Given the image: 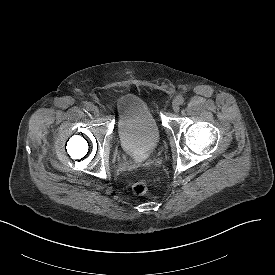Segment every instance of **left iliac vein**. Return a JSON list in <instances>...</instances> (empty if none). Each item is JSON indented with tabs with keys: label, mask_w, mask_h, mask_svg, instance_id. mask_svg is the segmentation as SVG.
<instances>
[{
	"label": "left iliac vein",
	"mask_w": 275,
	"mask_h": 275,
	"mask_svg": "<svg viewBox=\"0 0 275 275\" xmlns=\"http://www.w3.org/2000/svg\"><path fill=\"white\" fill-rule=\"evenodd\" d=\"M172 107H173L174 112L179 111L180 107H179V103L177 102L176 99L173 101Z\"/></svg>",
	"instance_id": "left-iliac-vein-1"
}]
</instances>
